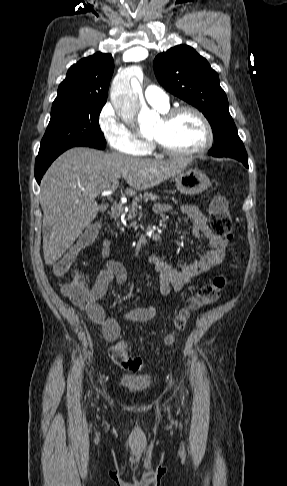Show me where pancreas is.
<instances>
[{
	"label": "pancreas",
	"mask_w": 287,
	"mask_h": 486,
	"mask_svg": "<svg viewBox=\"0 0 287 486\" xmlns=\"http://www.w3.org/2000/svg\"><path fill=\"white\" fill-rule=\"evenodd\" d=\"M148 199H150L151 201H156V200H159L160 197L156 194L148 193V192L144 193V195H139V196L135 197V199L132 201L131 207L128 211L127 219L132 220L138 212L139 203H141L142 200L148 201Z\"/></svg>",
	"instance_id": "cf45deb5"
}]
</instances>
